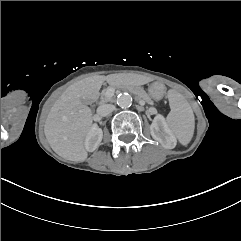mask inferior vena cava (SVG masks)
I'll use <instances>...</instances> for the list:
<instances>
[{
  "mask_svg": "<svg viewBox=\"0 0 241 241\" xmlns=\"http://www.w3.org/2000/svg\"><path fill=\"white\" fill-rule=\"evenodd\" d=\"M115 110V106L112 104H103L97 108V114L99 116H107Z\"/></svg>",
  "mask_w": 241,
  "mask_h": 241,
  "instance_id": "inferior-vena-cava-1",
  "label": "inferior vena cava"
}]
</instances>
